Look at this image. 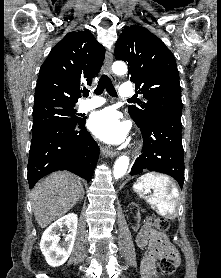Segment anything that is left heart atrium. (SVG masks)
<instances>
[{
	"instance_id": "1",
	"label": "left heart atrium",
	"mask_w": 221,
	"mask_h": 278,
	"mask_svg": "<svg viewBox=\"0 0 221 278\" xmlns=\"http://www.w3.org/2000/svg\"><path fill=\"white\" fill-rule=\"evenodd\" d=\"M89 129L94 135L108 143L122 142L127 134V126L119 120L112 109L94 113L89 120Z\"/></svg>"
}]
</instances>
